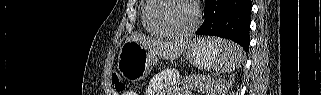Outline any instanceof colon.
I'll return each instance as SVG.
<instances>
[{"label":"colon","instance_id":"5ec220e1","mask_svg":"<svg viewBox=\"0 0 321 95\" xmlns=\"http://www.w3.org/2000/svg\"><path fill=\"white\" fill-rule=\"evenodd\" d=\"M112 84L117 92L122 93L125 91V83L117 72L112 73Z\"/></svg>","mask_w":321,"mask_h":95}]
</instances>
